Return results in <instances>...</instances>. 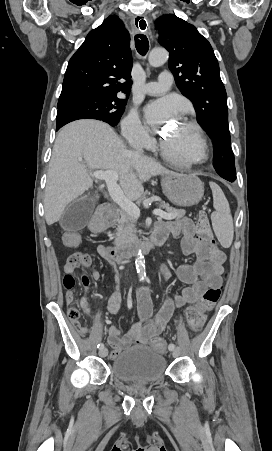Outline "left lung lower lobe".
<instances>
[{"mask_svg":"<svg viewBox=\"0 0 272 451\" xmlns=\"http://www.w3.org/2000/svg\"><path fill=\"white\" fill-rule=\"evenodd\" d=\"M226 180L233 182L236 178H225Z\"/></svg>","mask_w":272,"mask_h":451,"instance_id":"1","label":"left lung lower lobe"}]
</instances>
